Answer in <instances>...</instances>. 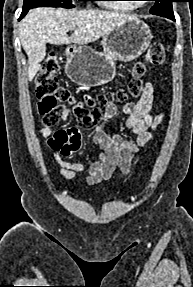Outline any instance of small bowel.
<instances>
[{"instance_id": "1", "label": "small bowel", "mask_w": 193, "mask_h": 287, "mask_svg": "<svg viewBox=\"0 0 193 287\" xmlns=\"http://www.w3.org/2000/svg\"><path fill=\"white\" fill-rule=\"evenodd\" d=\"M156 93L152 83L145 85L143 95L136 102H114L105 107L102 119L113 118L118 110L126 117L125 127L128 132L137 136V142H132L120 135L107 133L100 125L93 128L92 142L101 150L97 160L89 165L70 162L68 156H82L81 145L85 141V127H71V122H64L61 127H43L38 133L48 137V147L54 153L59 166V174L63 179L71 180L78 172H87L86 183L95 185L109 180L116 168L122 175L130 172L135 154L144 147L153 137L164 115H153L152 107ZM70 116L68 110L61 112L59 119L66 121ZM51 135V136H50Z\"/></svg>"}]
</instances>
